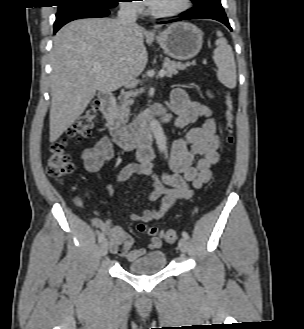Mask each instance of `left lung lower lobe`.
Listing matches in <instances>:
<instances>
[{"mask_svg":"<svg viewBox=\"0 0 304 329\" xmlns=\"http://www.w3.org/2000/svg\"><path fill=\"white\" fill-rule=\"evenodd\" d=\"M193 3L195 6L191 10L181 13L180 18L160 23L163 24L188 19L209 18L222 22L232 30L220 0H193Z\"/></svg>","mask_w":304,"mask_h":329,"instance_id":"1","label":"left lung lower lobe"}]
</instances>
